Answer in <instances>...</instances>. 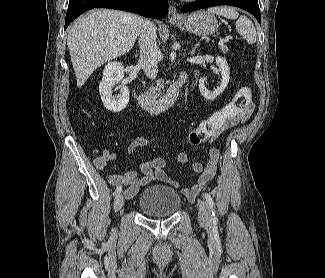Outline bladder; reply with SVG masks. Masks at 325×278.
Listing matches in <instances>:
<instances>
[{
	"instance_id": "bladder-1",
	"label": "bladder",
	"mask_w": 325,
	"mask_h": 278,
	"mask_svg": "<svg viewBox=\"0 0 325 278\" xmlns=\"http://www.w3.org/2000/svg\"><path fill=\"white\" fill-rule=\"evenodd\" d=\"M181 196L172 187L166 185H150L140 194L138 207L150 217H169L181 207Z\"/></svg>"
}]
</instances>
